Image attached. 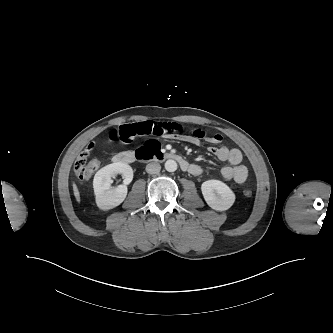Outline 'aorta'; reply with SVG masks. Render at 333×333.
I'll list each match as a JSON object with an SVG mask.
<instances>
[{"label": "aorta", "instance_id": "762f6f07", "mask_svg": "<svg viewBox=\"0 0 333 333\" xmlns=\"http://www.w3.org/2000/svg\"><path fill=\"white\" fill-rule=\"evenodd\" d=\"M165 169L168 172H174V171H176L177 170V163H176V161L171 160V159L167 160L165 162Z\"/></svg>", "mask_w": 333, "mask_h": 333}]
</instances>
